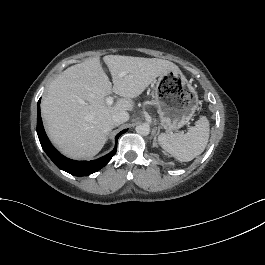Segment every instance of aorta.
<instances>
[{"mask_svg":"<svg viewBox=\"0 0 265 265\" xmlns=\"http://www.w3.org/2000/svg\"><path fill=\"white\" fill-rule=\"evenodd\" d=\"M136 132L140 135L146 136L150 133V127L148 124L138 125L135 128Z\"/></svg>","mask_w":265,"mask_h":265,"instance_id":"obj_1","label":"aorta"}]
</instances>
